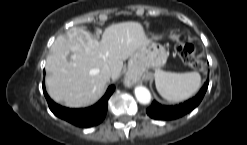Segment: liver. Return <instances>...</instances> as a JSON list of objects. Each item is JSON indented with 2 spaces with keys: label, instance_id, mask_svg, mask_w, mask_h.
<instances>
[{
  "label": "liver",
  "instance_id": "liver-1",
  "mask_svg": "<svg viewBox=\"0 0 247 145\" xmlns=\"http://www.w3.org/2000/svg\"><path fill=\"white\" fill-rule=\"evenodd\" d=\"M149 43L138 22L107 27L101 41L73 27L65 36H58L51 46V54L46 59L47 92L56 102L70 107L93 104L104 94L109 79H118L123 61ZM106 67L110 77L102 74Z\"/></svg>",
  "mask_w": 247,
  "mask_h": 145
}]
</instances>
